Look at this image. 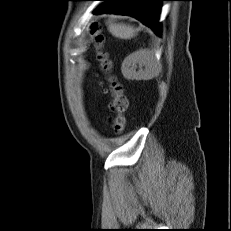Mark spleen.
<instances>
[{
	"mask_svg": "<svg viewBox=\"0 0 231 231\" xmlns=\"http://www.w3.org/2000/svg\"><path fill=\"white\" fill-rule=\"evenodd\" d=\"M109 32L116 38L131 39L136 35V29L124 23H109Z\"/></svg>",
	"mask_w": 231,
	"mask_h": 231,
	"instance_id": "1",
	"label": "spleen"
}]
</instances>
